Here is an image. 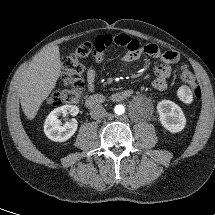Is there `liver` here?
Returning a JSON list of instances; mask_svg holds the SVG:
<instances>
[{
	"instance_id": "1",
	"label": "liver",
	"mask_w": 215,
	"mask_h": 215,
	"mask_svg": "<svg viewBox=\"0 0 215 215\" xmlns=\"http://www.w3.org/2000/svg\"><path fill=\"white\" fill-rule=\"evenodd\" d=\"M61 73L60 52L57 45L41 50L17 76V91L25 116L35 118L41 104L56 86Z\"/></svg>"
}]
</instances>
